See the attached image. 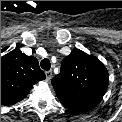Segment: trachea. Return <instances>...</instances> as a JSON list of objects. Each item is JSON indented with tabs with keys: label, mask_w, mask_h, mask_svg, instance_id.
Wrapping results in <instances>:
<instances>
[{
	"label": "trachea",
	"mask_w": 122,
	"mask_h": 122,
	"mask_svg": "<svg viewBox=\"0 0 122 122\" xmlns=\"http://www.w3.org/2000/svg\"><path fill=\"white\" fill-rule=\"evenodd\" d=\"M40 65H41V68L45 71H48L51 68V63L47 58L43 59Z\"/></svg>",
	"instance_id": "1"
}]
</instances>
